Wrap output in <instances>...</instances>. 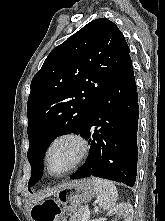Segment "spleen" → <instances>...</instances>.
I'll return each mask as SVG.
<instances>
[{"instance_id": "1", "label": "spleen", "mask_w": 165, "mask_h": 221, "mask_svg": "<svg viewBox=\"0 0 165 221\" xmlns=\"http://www.w3.org/2000/svg\"><path fill=\"white\" fill-rule=\"evenodd\" d=\"M92 182L96 189L99 206L103 210L113 208L118 199V191L113 182L100 178H92Z\"/></svg>"}]
</instances>
